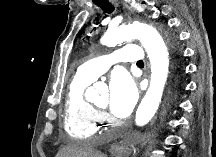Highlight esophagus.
Returning <instances> with one entry per match:
<instances>
[{"mask_svg":"<svg viewBox=\"0 0 216 157\" xmlns=\"http://www.w3.org/2000/svg\"><path fill=\"white\" fill-rule=\"evenodd\" d=\"M112 3L117 7L118 6V3L116 1H112ZM119 147L117 145H113L112 146V150H118Z\"/></svg>","mask_w":216,"mask_h":157,"instance_id":"esophagus-1","label":"esophagus"}]
</instances>
